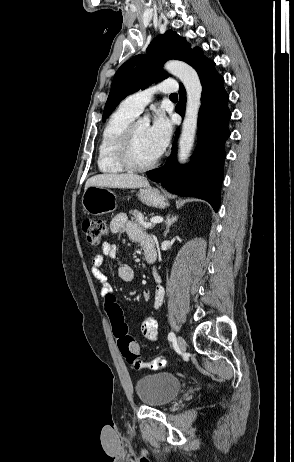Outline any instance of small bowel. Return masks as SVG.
<instances>
[{"label": "small bowel", "mask_w": 294, "mask_h": 462, "mask_svg": "<svg viewBox=\"0 0 294 462\" xmlns=\"http://www.w3.org/2000/svg\"><path fill=\"white\" fill-rule=\"evenodd\" d=\"M110 231L114 234L124 233L134 241L139 242L142 246L148 242L153 243L152 239L143 233L134 223H132L125 214H117L110 222ZM154 244V243H153ZM117 255V245L111 242H106L102 245V250L97 254L91 263L92 275L101 284V295L104 300L107 296L111 295L113 290L110 285L106 274L102 271L101 267L106 259L114 258ZM155 278L160 282V276L157 271L154 273ZM119 278L126 282H132L135 277L134 270L127 264H122L118 268ZM165 292L163 287L158 284L155 288L152 298V309H158L164 301ZM141 329L144 336L149 341H156L158 336L157 321L151 317H144L141 323ZM166 366V361L163 358H156L155 360L143 364V367L150 370H160Z\"/></svg>", "instance_id": "c3829d8e"}]
</instances>
